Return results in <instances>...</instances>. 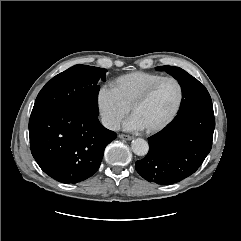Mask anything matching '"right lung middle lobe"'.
<instances>
[{"instance_id": "dd1d6c3e", "label": "right lung middle lobe", "mask_w": 241, "mask_h": 241, "mask_svg": "<svg viewBox=\"0 0 241 241\" xmlns=\"http://www.w3.org/2000/svg\"><path fill=\"white\" fill-rule=\"evenodd\" d=\"M106 69L75 65L53 77L39 92L32 113L73 108L99 115V80L105 81Z\"/></svg>"}]
</instances>
